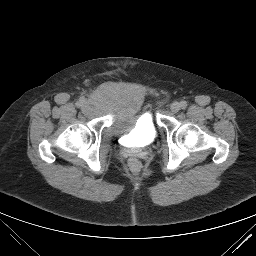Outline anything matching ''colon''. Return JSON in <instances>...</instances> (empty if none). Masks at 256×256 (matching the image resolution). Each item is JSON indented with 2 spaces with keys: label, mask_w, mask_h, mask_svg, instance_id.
Segmentation results:
<instances>
[{
  "label": "colon",
  "mask_w": 256,
  "mask_h": 256,
  "mask_svg": "<svg viewBox=\"0 0 256 256\" xmlns=\"http://www.w3.org/2000/svg\"><path fill=\"white\" fill-rule=\"evenodd\" d=\"M128 166L132 172L136 173L141 168V162L137 158L132 157L128 161Z\"/></svg>",
  "instance_id": "obj_1"
}]
</instances>
